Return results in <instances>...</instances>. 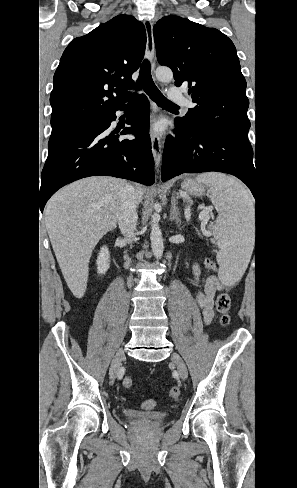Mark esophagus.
Segmentation results:
<instances>
[{
  "label": "esophagus",
  "instance_id": "1",
  "mask_svg": "<svg viewBox=\"0 0 297 488\" xmlns=\"http://www.w3.org/2000/svg\"><path fill=\"white\" fill-rule=\"evenodd\" d=\"M145 29H146V37H147V46H146V53L148 60L153 63L154 55H155V46H154V37H153V24L151 21H145ZM151 145H152V154L155 161V166L159 167L161 159H162V145L158 135L151 133Z\"/></svg>",
  "mask_w": 297,
  "mask_h": 488
}]
</instances>
